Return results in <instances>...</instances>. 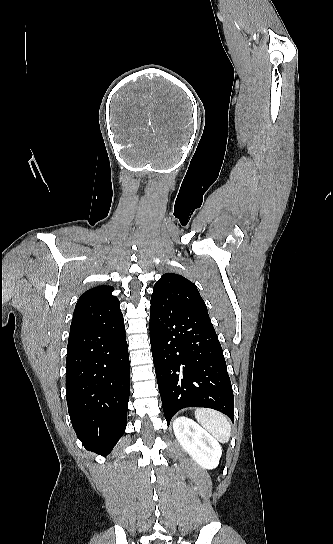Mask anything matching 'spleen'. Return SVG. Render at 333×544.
Instances as JSON below:
<instances>
[{
    "instance_id": "spleen-1",
    "label": "spleen",
    "mask_w": 333,
    "mask_h": 544,
    "mask_svg": "<svg viewBox=\"0 0 333 544\" xmlns=\"http://www.w3.org/2000/svg\"><path fill=\"white\" fill-rule=\"evenodd\" d=\"M195 418L221 443L228 442L231 426L226 416L213 409L198 408L195 411Z\"/></svg>"
}]
</instances>
